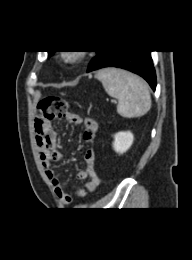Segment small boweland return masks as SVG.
<instances>
[{
    "mask_svg": "<svg viewBox=\"0 0 192 260\" xmlns=\"http://www.w3.org/2000/svg\"><path fill=\"white\" fill-rule=\"evenodd\" d=\"M66 119L74 124H84L85 130L90 131L93 135L98 130V124L91 118L82 119L78 114L70 112ZM36 143L39 151L40 160L45 170L46 176L52 184L57 197L64 205L73 202L72 194L67 190L65 185L60 181L52 168L53 163L58 162L62 154L57 147V134L50 121H36L35 123ZM85 168L77 173L79 180L88 181L81 188L76 190V194L85 198L94 192L99 185V177L95 169V152L93 149L86 151L84 155Z\"/></svg>",
    "mask_w": 192,
    "mask_h": 260,
    "instance_id": "small-bowel-1",
    "label": "small bowel"
}]
</instances>
